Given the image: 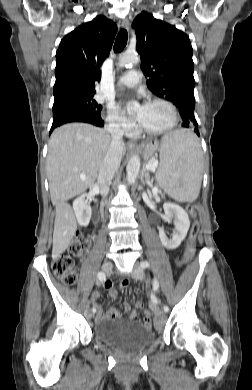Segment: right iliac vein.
Wrapping results in <instances>:
<instances>
[{"label": "right iliac vein", "mask_w": 252, "mask_h": 390, "mask_svg": "<svg viewBox=\"0 0 252 390\" xmlns=\"http://www.w3.org/2000/svg\"><path fill=\"white\" fill-rule=\"evenodd\" d=\"M112 269V263L110 261H105L102 265V270L105 272V273H109ZM85 315L88 319H91L93 317V312L87 308L85 310Z\"/></svg>", "instance_id": "right-iliac-vein-1"}]
</instances>
